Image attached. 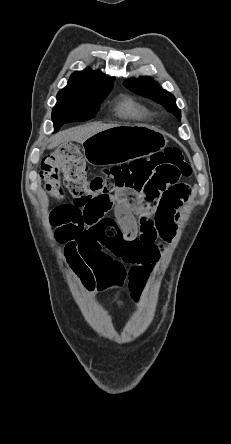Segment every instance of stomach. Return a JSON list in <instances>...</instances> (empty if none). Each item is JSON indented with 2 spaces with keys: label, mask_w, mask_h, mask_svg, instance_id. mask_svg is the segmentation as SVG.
Returning <instances> with one entry per match:
<instances>
[{
  "label": "stomach",
  "mask_w": 231,
  "mask_h": 444,
  "mask_svg": "<svg viewBox=\"0 0 231 444\" xmlns=\"http://www.w3.org/2000/svg\"><path fill=\"white\" fill-rule=\"evenodd\" d=\"M168 140L157 128L136 124L98 132L83 144L84 159L93 165L121 164L161 151Z\"/></svg>",
  "instance_id": "0dacf381"
}]
</instances>
